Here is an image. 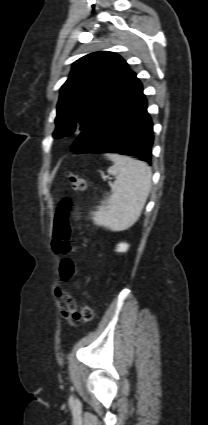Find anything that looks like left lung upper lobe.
I'll use <instances>...</instances> for the list:
<instances>
[{"label": "left lung upper lobe", "instance_id": "1", "mask_svg": "<svg viewBox=\"0 0 208 425\" xmlns=\"http://www.w3.org/2000/svg\"><path fill=\"white\" fill-rule=\"evenodd\" d=\"M135 78L126 61L112 52L90 53L74 62L60 89L53 137L72 134L78 123L85 129ZM72 148L79 153L76 142Z\"/></svg>", "mask_w": 208, "mask_h": 425}]
</instances>
